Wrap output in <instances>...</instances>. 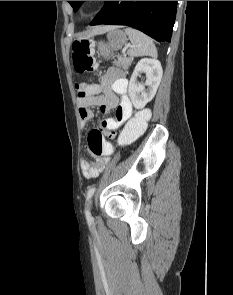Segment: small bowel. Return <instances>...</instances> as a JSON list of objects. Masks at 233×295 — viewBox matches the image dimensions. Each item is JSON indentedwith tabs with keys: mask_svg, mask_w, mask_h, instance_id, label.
I'll use <instances>...</instances> for the list:
<instances>
[{
	"mask_svg": "<svg viewBox=\"0 0 233 295\" xmlns=\"http://www.w3.org/2000/svg\"><path fill=\"white\" fill-rule=\"evenodd\" d=\"M128 80L121 70L111 68L102 78L98 93L77 98L79 116L83 124L94 118L91 107H99L102 113H109L115 110L114 118H107L100 122L99 130L108 133L117 130L123 123L129 121L133 114V106L128 93ZM102 92V94H100ZM106 156H99L94 161L82 159L80 167L85 178H95L107 164Z\"/></svg>",
	"mask_w": 233,
	"mask_h": 295,
	"instance_id": "1",
	"label": "small bowel"
}]
</instances>
